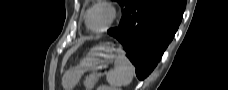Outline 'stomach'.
Instances as JSON below:
<instances>
[{
	"label": "stomach",
	"instance_id": "stomach-1",
	"mask_svg": "<svg viewBox=\"0 0 228 90\" xmlns=\"http://www.w3.org/2000/svg\"><path fill=\"white\" fill-rule=\"evenodd\" d=\"M115 52L116 49L109 43L91 48L78 66L70 68L65 73L64 83L69 87H73L85 71H95L107 67L113 61Z\"/></svg>",
	"mask_w": 228,
	"mask_h": 90
}]
</instances>
